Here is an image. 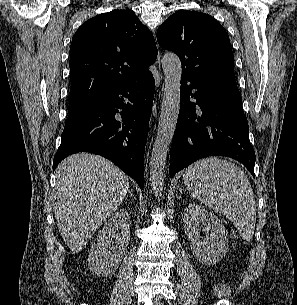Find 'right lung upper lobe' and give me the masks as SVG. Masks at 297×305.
Listing matches in <instances>:
<instances>
[{
	"label": "right lung upper lobe",
	"mask_w": 297,
	"mask_h": 305,
	"mask_svg": "<svg viewBox=\"0 0 297 305\" xmlns=\"http://www.w3.org/2000/svg\"><path fill=\"white\" fill-rule=\"evenodd\" d=\"M157 47L150 30L130 10L87 20L70 47V103L92 100L150 71Z\"/></svg>",
	"instance_id": "obj_1"
}]
</instances>
